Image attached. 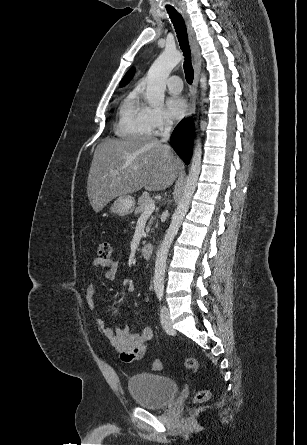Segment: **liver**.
<instances>
[{
	"label": "liver",
	"instance_id": "obj_1",
	"mask_svg": "<svg viewBox=\"0 0 307 445\" xmlns=\"http://www.w3.org/2000/svg\"><path fill=\"white\" fill-rule=\"evenodd\" d=\"M179 162L171 146L155 136L104 138L95 148L87 180L93 210L100 212L112 198L130 196L143 186L146 190L167 188L177 178Z\"/></svg>",
	"mask_w": 307,
	"mask_h": 445
}]
</instances>
